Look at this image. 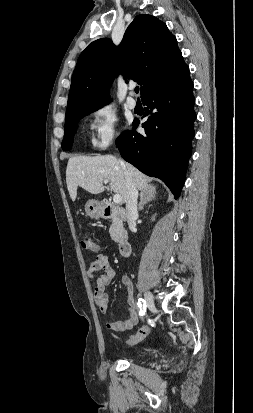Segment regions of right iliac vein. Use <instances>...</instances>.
<instances>
[{"label":"right iliac vein","mask_w":253,"mask_h":413,"mask_svg":"<svg viewBox=\"0 0 253 413\" xmlns=\"http://www.w3.org/2000/svg\"><path fill=\"white\" fill-rule=\"evenodd\" d=\"M144 297H145V301H146V304L149 310L154 311L155 303H154V298L152 294L149 291H146Z\"/></svg>","instance_id":"obj_1"}]
</instances>
